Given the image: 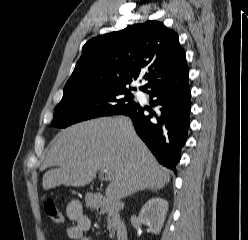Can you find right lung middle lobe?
Masks as SVG:
<instances>
[{"instance_id": "obj_1", "label": "right lung middle lobe", "mask_w": 248, "mask_h": 240, "mask_svg": "<svg viewBox=\"0 0 248 240\" xmlns=\"http://www.w3.org/2000/svg\"><path fill=\"white\" fill-rule=\"evenodd\" d=\"M127 88L65 89L61 102L55 107L51 125L65 128L76 122L110 116L137 104Z\"/></svg>"}]
</instances>
